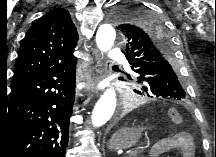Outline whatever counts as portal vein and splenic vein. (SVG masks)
<instances>
[{"label": "portal vein and splenic vein", "mask_w": 216, "mask_h": 157, "mask_svg": "<svg viewBox=\"0 0 216 157\" xmlns=\"http://www.w3.org/2000/svg\"><path fill=\"white\" fill-rule=\"evenodd\" d=\"M140 147H137L136 149H134L135 151L137 150V149H139ZM134 150H129L127 153H129V154H131L132 152H134Z\"/></svg>", "instance_id": "1"}]
</instances>
